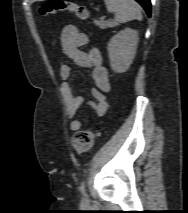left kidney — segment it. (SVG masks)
<instances>
[{
    "instance_id": "left-kidney-1",
    "label": "left kidney",
    "mask_w": 188,
    "mask_h": 213,
    "mask_svg": "<svg viewBox=\"0 0 188 213\" xmlns=\"http://www.w3.org/2000/svg\"><path fill=\"white\" fill-rule=\"evenodd\" d=\"M138 32L126 28L114 35L108 43L110 66L116 73L126 72L136 54Z\"/></svg>"
}]
</instances>
